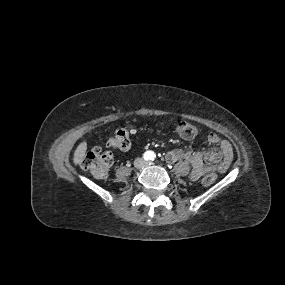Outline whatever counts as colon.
I'll use <instances>...</instances> for the list:
<instances>
[{"label":"colon","mask_w":285,"mask_h":285,"mask_svg":"<svg viewBox=\"0 0 285 285\" xmlns=\"http://www.w3.org/2000/svg\"><path fill=\"white\" fill-rule=\"evenodd\" d=\"M179 135L186 140H191L197 135V128L188 121H181L177 125ZM107 144L121 150L128 149L131 144L130 129L120 127L115 130L108 139ZM112 165V156L101 147L96 146L91 149L81 161V167L90 172L95 178L104 179L107 177ZM217 179L215 173H207L202 178V183L206 186L212 185Z\"/></svg>","instance_id":"obj_1"}]
</instances>
